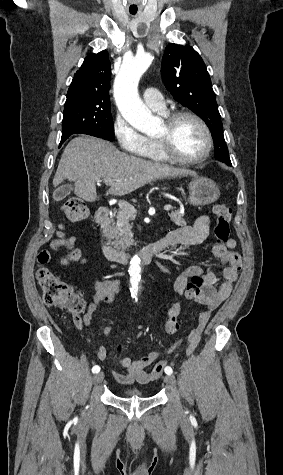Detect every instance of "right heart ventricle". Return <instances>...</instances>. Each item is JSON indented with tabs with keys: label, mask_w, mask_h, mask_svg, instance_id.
<instances>
[{
	"label": "right heart ventricle",
	"mask_w": 283,
	"mask_h": 475,
	"mask_svg": "<svg viewBox=\"0 0 283 475\" xmlns=\"http://www.w3.org/2000/svg\"><path fill=\"white\" fill-rule=\"evenodd\" d=\"M161 112L163 114H166L165 110ZM148 141H149V148H148L147 157L152 160L162 161V158L158 151L157 141L155 137L149 138Z\"/></svg>",
	"instance_id": "e07e8e85"
}]
</instances>
